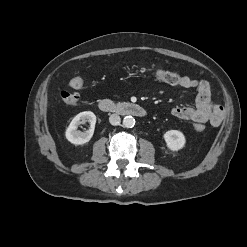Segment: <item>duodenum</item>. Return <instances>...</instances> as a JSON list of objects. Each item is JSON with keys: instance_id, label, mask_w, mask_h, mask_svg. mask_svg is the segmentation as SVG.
Here are the masks:
<instances>
[{"instance_id": "1", "label": "duodenum", "mask_w": 247, "mask_h": 247, "mask_svg": "<svg viewBox=\"0 0 247 247\" xmlns=\"http://www.w3.org/2000/svg\"><path fill=\"white\" fill-rule=\"evenodd\" d=\"M99 109L106 113H116L124 116L145 117L146 110L135 103L115 102L110 99H102L99 101Z\"/></svg>"}]
</instances>
